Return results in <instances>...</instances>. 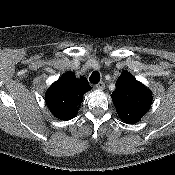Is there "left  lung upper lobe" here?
Masks as SVG:
<instances>
[{
  "instance_id": "5c2ea615",
  "label": "left lung upper lobe",
  "mask_w": 175,
  "mask_h": 175,
  "mask_svg": "<svg viewBox=\"0 0 175 175\" xmlns=\"http://www.w3.org/2000/svg\"><path fill=\"white\" fill-rule=\"evenodd\" d=\"M111 97L119 117L128 124L138 122L153 100L152 92L129 72H123L117 79Z\"/></svg>"
}]
</instances>
